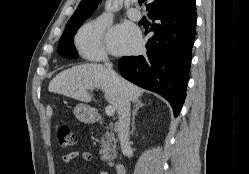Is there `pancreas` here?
I'll return each mask as SVG.
<instances>
[{
	"mask_svg": "<svg viewBox=\"0 0 249 174\" xmlns=\"http://www.w3.org/2000/svg\"><path fill=\"white\" fill-rule=\"evenodd\" d=\"M101 159L108 160V164L112 165L111 160L116 156V139L114 134L107 130L101 138Z\"/></svg>",
	"mask_w": 249,
	"mask_h": 174,
	"instance_id": "1",
	"label": "pancreas"
}]
</instances>
